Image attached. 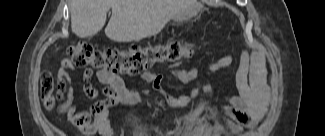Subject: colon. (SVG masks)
Instances as JSON below:
<instances>
[{
	"label": "colon",
	"instance_id": "5ec220e1",
	"mask_svg": "<svg viewBox=\"0 0 325 136\" xmlns=\"http://www.w3.org/2000/svg\"><path fill=\"white\" fill-rule=\"evenodd\" d=\"M191 54L192 49L180 42L98 50L92 43L81 41L68 48V55L76 66L123 74H138L156 64L177 61ZM40 89L46 108L54 109L62 96L55 89L53 78L48 72L41 75Z\"/></svg>",
	"mask_w": 325,
	"mask_h": 136
}]
</instances>
